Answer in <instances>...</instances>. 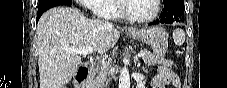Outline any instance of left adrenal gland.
<instances>
[{
	"label": "left adrenal gland",
	"instance_id": "obj_1",
	"mask_svg": "<svg viewBox=\"0 0 227 88\" xmlns=\"http://www.w3.org/2000/svg\"><path fill=\"white\" fill-rule=\"evenodd\" d=\"M135 63H137V67L140 66V61H139V59L137 57H136ZM143 70L147 71V69H145L144 67H143Z\"/></svg>",
	"mask_w": 227,
	"mask_h": 88
}]
</instances>
